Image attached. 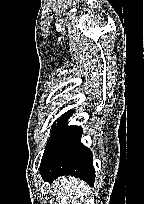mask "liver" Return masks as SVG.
Here are the masks:
<instances>
[{
	"mask_svg": "<svg viewBox=\"0 0 144 204\" xmlns=\"http://www.w3.org/2000/svg\"><path fill=\"white\" fill-rule=\"evenodd\" d=\"M56 200L59 204H81L87 195V184L75 177H61L53 184ZM61 200V202H60Z\"/></svg>",
	"mask_w": 144,
	"mask_h": 204,
	"instance_id": "6515ba94",
	"label": "liver"
}]
</instances>
